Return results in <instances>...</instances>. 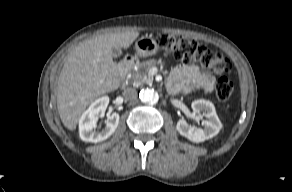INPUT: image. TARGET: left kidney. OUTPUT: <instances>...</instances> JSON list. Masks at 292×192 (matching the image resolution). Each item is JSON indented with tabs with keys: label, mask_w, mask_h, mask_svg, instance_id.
<instances>
[{
	"label": "left kidney",
	"mask_w": 292,
	"mask_h": 192,
	"mask_svg": "<svg viewBox=\"0 0 292 192\" xmlns=\"http://www.w3.org/2000/svg\"><path fill=\"white\" fill-rule=\"evenodd\" d=\"M191 106L194 113L200 114L202 112L203 116L206 117V120L202 121L204 128L196 129L189 125L185 119L181 118L176 125V129L180 135L195 143H200L216 136L222 128V123L216 114L213 103L199 99L193 101Z\"/></svg>",
	"instance_id": "left-kidney-1"
}]
</instances>
